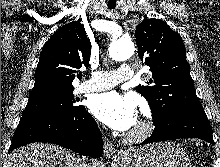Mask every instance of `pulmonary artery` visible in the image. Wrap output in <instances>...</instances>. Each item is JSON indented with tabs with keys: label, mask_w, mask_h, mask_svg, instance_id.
<instances>
[{
	"label": "pulmonary artery",
	"mask_w": 220,
	"mask_h": 167,
	"mask_svg": "<svg viewBox=\"0 0 220 167\" xmlns=\"http://www.w3.org/2000/svg\"><path fill=\"white\" fill-rule=\"evenodd\" d=\"M134 76V69L129 64H122L116 71H93L90 79L80 86L82 92H96L112 88Z\"/></svg>",
	"instance_id": "1"
}]
</instances>
